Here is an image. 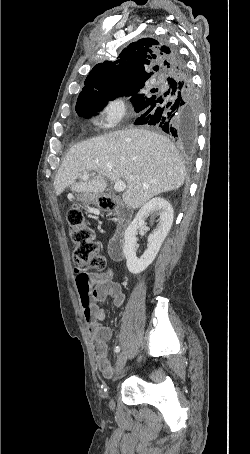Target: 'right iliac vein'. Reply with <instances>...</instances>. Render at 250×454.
<instances>
[{
  "mask_svg": "<svg viewBox=\"0 0 250 454\" xmlns=\"http://www.w3.org/2000/svg\"><path fill=\"white\" fill-rule=\"evenodd\" d=\"M126 361H127L126 352H125V351L120 352V353L118 354V358H117V362L119 363L117 372H120V371L123 369V367H124L125 364H126ZM110 407H111V408L114 407V401H113V400L110 401Z\"/></svg>",
  "mask_w": 250,
  "mask_h": 454,
  "instance_id": "1",
  "label": "right iliac vein"
}]
</instances>
